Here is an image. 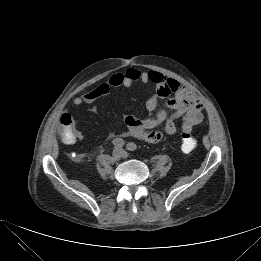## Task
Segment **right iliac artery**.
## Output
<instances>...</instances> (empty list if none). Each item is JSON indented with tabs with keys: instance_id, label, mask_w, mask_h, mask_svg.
Here are the masks:
<instances>
[{
	"instance_id": "right-iliac-artery-1",
	"label": "right iliac artery",
	"mask_w": 261,
	"mask_h": 261,
	"mask_svg": "<svg viewBox=\"0 0 261 261\" xmlns=\"http://www.w3.org/2000/svg\"><path fill=\"white\" fill-rule=\"evenodd\" d=\"M125 144V141L121 138H116L112 141V145L116 148L123 147Z\"/></svg>"
}]
</instances>
